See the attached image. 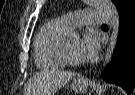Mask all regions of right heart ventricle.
I'll return each mask as SVG.
<instances>
[{"label": "right heart ventricle", "instance_id": "e07e8e85", "mask_svg": "<svg viewBox=\"0 0 135 95\" xmlns=\"http://www.w3.org/2000/svg\"><path fill=\"white\" fill-rule=\"evenodd\" d=\"M69 27L61 18L44 23L39 29L34 42V58L42 69H57L65 66L61 55V46Z\"/></svg>", "mask_w": 135, "mask_h": 95}]
</instances>
